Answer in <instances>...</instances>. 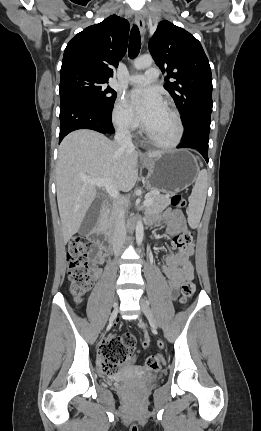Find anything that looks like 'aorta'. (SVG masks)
Listing matches in <instances>:
<instances>
[{"label":"aorta","instance_id":"1","mask_svg":"<svg viewBox=\"0 0 261 431\" xmlns=\"http://www.w3.org/2000/svg\"><path fill=\"white\" fill-rule=\"evenodd\" d=\"M152 63H153L152 57L146 55L135 59L133 65L137 70H142L150 67ZM143 234H144L143 224L141 220H138L136 224V240L138 245H141L142 243Z\"/></svg>","mask_w":261,"mask_h":431}]
</instances>
